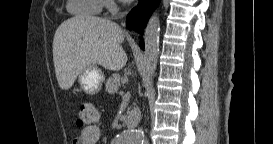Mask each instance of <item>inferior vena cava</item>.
Returning <instances> with one entry per match:
<instances>
[{
    "mask_svg": "<svg viewBox=\"0 0 273 144\" xmlns=\"http://www.w3.org/2000/svg\"><path fill=\"white\" fill-rule=\"evenodd\" d=\"M145 143H146V144L148 143V140H147V139H145Z\"/></svg>",
    "mask_w": 273,
    "mask_h": 144,
    "instance_id": "inferior-vena-cava-1",
    "label": "inferior vena cava"
}]
</instances>
